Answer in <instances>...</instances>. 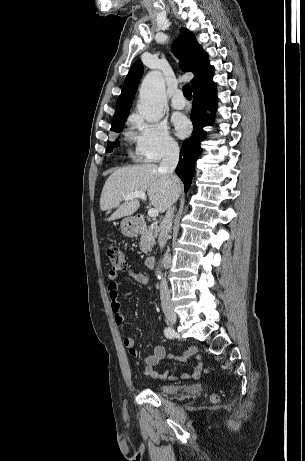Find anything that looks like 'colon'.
Wrapping results in <instances>:
<instances>
[{
	"label": "colon",
	"mask_w": 305,
	"mask_h": 461,
	"mask_svg": "<svg viewBox=\"0 0 305 461\" xmlns=\"http://www.w3.org/2000/svg\"><path fill=\"white\" fill-rule=\"evenodd\" d=\"M106 254L110 261L114 273L125 272L128 269L124 252L115 244H110L106 248ZM207 371V370H206ZM218 397L213 396L212 400L217 401Z\"/></svg>",
	"instance_id": "5ec220e1"
}]
</instances>
